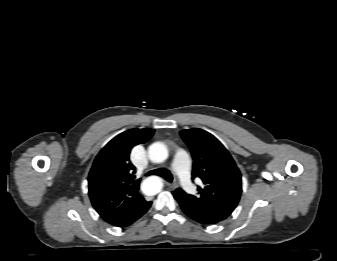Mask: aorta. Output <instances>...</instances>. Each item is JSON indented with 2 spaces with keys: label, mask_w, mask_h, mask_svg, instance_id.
<instances>
[{
  "label": "aorta",
  "mask_w": 337,
  "mask_h": 261,
  "mask_svg": "<svg viewBox=\"0 0 337 261\" xmlns=\"http://www.w3.org/2000/svg\"><path fill=\"white\" fill-rule=\"evenodd\" d=\"M148 156L152 162L161 163L168 157L167 147L161 142H155L149 146ZM141 189L147 195H155L162 189L161 180L156 176H151L143 181Z\"/></svg>",
  "instance_id": "obj_1"
}]
</instances>
